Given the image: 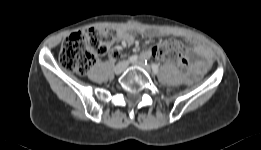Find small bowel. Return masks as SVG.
<instances>
[{
  "instance_id": "obj_1",
  "label": "small bowel",
  "mask_w": 261,
  "mask_h": 150,
  "mask_svg": "<svg viewBox=\"0 0 261 150\" xmlns=\"http://www.w3.org/2000/svg\"><path fill=\"white\" fill-rule=\"evenodd\" d=\"M140 32L146 36V37H153L155 35V32L150 29H141ZM118 39L120 41V45H118L116 48L121 49L124 48L127 45H131L135 41V37L132 33V29L130 27H122L118 30ZM188 40L192 44V52L200 57L199 60L195 61L193 65V70L191 73V78L197 77L200 73H202L204 70H206L212 61V56L210 51L198 40L195 38L189 37ZM151 56V52L146 50L143 51L141 54L142 59H149ZM116 54L114 53L112 55V58H115Z\"/></svg>"
}]
</instances>
